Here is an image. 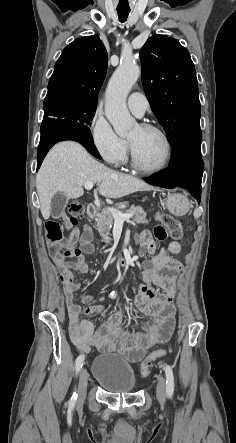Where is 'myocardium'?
Segmentation results:
<instances>
[{"mask_svg": "<svg viewBox=\"0 0 236 443\" xmlns=\"http://www.w3.org/2000/svg\"><path fill=\"white\" fill-rule=\"evenodd\" d=\"M139 126L144 130L155 131L162 136V138L166 144V150H167L166 158L160 166H158L156 168H147L139 162L136 151L134 149V146L131 143V141L128 140L130 156H131V164L134 167V169H136L137 171L144 173V174L160 173V172L164 171L169 166V164L172 160V157H173V145H172L171 139H170L169 135L167 134V132L158 125H155L152 123H141Z\"/></svg>", "mask_w": 236, "mask_h": 443, "instance_id": "f54148a6", "label": "myocardium"}]
</instances>
